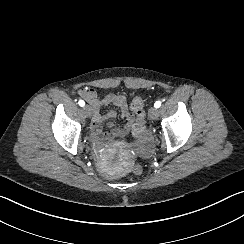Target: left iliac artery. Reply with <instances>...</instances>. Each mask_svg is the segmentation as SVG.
I'll use <instances>...</instances> for the list:
<instances>
[{
    "label": "left iliac artery",
    "instance_id": "44dca946",
    "mask_svg": "<svg viewBox=\"0 0 244 244\" xmlns=\"http://www.w3.org/2000/svg\"><path fill=\"white\" fill-rule=\"evenodd\" d=\"M161 106V102L160 101H156L154 104V107L159 108Z\"/></svg>",
    "mask_w": 244,
    "mask_h": 244
}]
</instances>
